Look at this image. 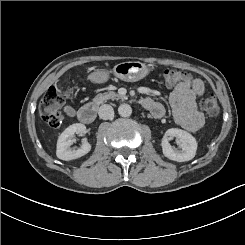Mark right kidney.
I'll return each instance as SVG.
<instances>
[{
    "label": "right kidney",
    "instance_id": "obj_1",
    "mask_svg": "<svg viewBox=\"0 0 245 245\" xmlns=\"http://www.w3.org/2000/svg\"><path fill=\"white\" fill-rule=\"evenodd\" d=\"M86 130V126L81 123H75L67 127L59 136L57 141L56 156L64 161H72L88 154L91 150V144L84 142L80 149L70 147L72 138L75 134L81 135Z\"/></svg>",
    "mask_w": 245,
    "mask_h": 245
}]
</instances>
